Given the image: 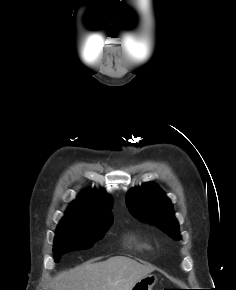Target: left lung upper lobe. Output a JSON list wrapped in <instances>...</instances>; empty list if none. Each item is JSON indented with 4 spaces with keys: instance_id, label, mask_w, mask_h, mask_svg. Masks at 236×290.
Returning <instances> with one entry per match:
<instances>
[{
    "instance_id": "obj_1",
    "label": "left lung upper lobe",
    "mask_w": 236,
    "mask_h": 290,
    "mask_svg": "<svg viewBox=\"0 0 236 290\" xmlns=\"http://www.w3.org/2000/svg\"><path fill=\"white\" fill-rule=\"evenodd\" d=\"M126 204L138 219L156 225L175 240L181 239L172 204L156 184L148 183L132 189Z\"/></svg>"
}]
</instances>
